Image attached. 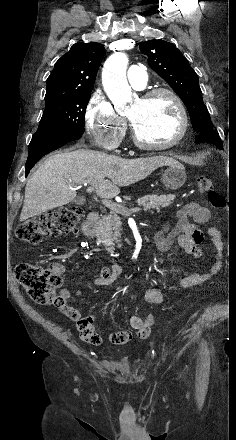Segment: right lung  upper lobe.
<instances>
[{
  "mask_svg": "<svg viewBox=\"0 0 236 440\" xmlns=\"http://www.w3.org/2000/svg\"><path fill=\"white\" fill-rule=\"evenodd\" d=\"M104 55L102 44L75 43L48 77L45 103L90 93Z\"/></svg>",
  "mask_w": 236,
  "mask_h": 440,
  "instance_id": "right-lung-upper-lobe-1",
  "label": "right lung upper lobe"
}]
</instances>
